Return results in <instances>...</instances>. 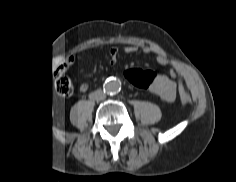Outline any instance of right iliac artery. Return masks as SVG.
Returning <instances> with one entry per match:
<instances>
[{"label":"right iliac artery","mask_w":236,"mask_h":182,"mask_svg":"<svg viewBox=\"0 0 236 182\" xmlns=\"http://www.w3.org/2000/svg\"><path fill=\"white\" fill-rule=\"evenodd\" d=\"M103 91H104V93H107V94H109L111 92L110 87H107L105 85L103 87Z\"/></svg>","instance_id":"obj_1"}]
</instances>
